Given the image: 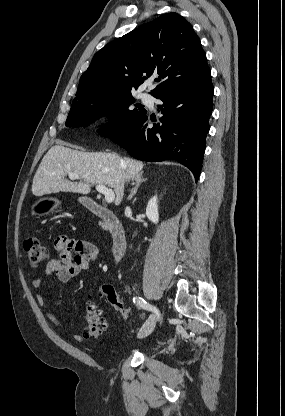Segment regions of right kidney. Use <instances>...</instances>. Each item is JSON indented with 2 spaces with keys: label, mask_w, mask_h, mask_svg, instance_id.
<instances>
[{
  "label": "right kidney",
  "mask_w": 285,
  "mask_h": 416,
  "mask_svg": "<svg viewBox=\"0 0 285 416\" xmlns=\"http://www.w3.org/2000/svg\"><path fill=\"white\" fill-rule=\"evenodd\" d=\"M157 200H158L157 196H154V198H151L146 208V216L148 220H150V222H153V224H158L159 222Z\"/></svg>",
  "instance_id": "right-kidney-1"
}]
</instances>
